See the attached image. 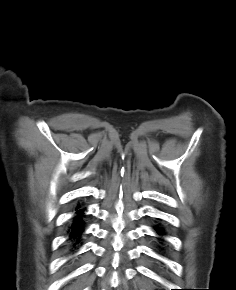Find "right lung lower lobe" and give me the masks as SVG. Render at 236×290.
Returning a JSON list of instances; mask_svg holds the SVG:
<instances>
[{
    "label": "right lung lower lobe",
    "mask_w": 236,
    "mask_h": 290,
    "mask_svg": "<svg viewBox=\"0 0 236 290\" xmlns=\"http://www.w3.org/2000/svg\"><path fill=\"white\" fill-rule=\"evenodd\" d=\"M84 211L85 209L80 208L79 206L75 209V215L72 217L67 232L68 242L74 250L78 248L79 244H81L82 235L85 230Z\"/></svg>",
    "instance_id": "1"
}]
</instances>
